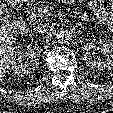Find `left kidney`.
Wrapping results in <instances>:
<instances>
[{
    "mask_svg": "<svg viewBox=\"0 0 113 113\" xmlns=\"http://www.w3.org/2000/svg\"><path fill=\"white\" fill-rule=\"evenodd\" d=\"M99 50L105 57V59L95 60L92 57V53L96 48V44L93 42H89L81 47L82 50V58L86 62L87 66L97 70H113V42L110 40H100L98 42Z\"/></svg>",
    "mask_w": 113,
    "mask_h": 113,
    "instance_id": "obj_1",
    "label": "left kidney"
}]
</instances>
